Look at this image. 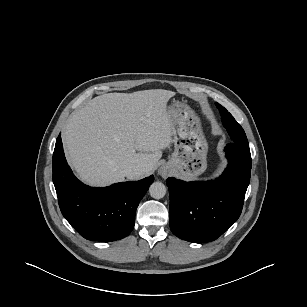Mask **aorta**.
I'll use <instances>...</instances> for the list:
<instances>
[{"mask_svg": "<svg viewBox=\"0 0 307 307\" xmlns=\"http://www.w3.org/2000/svg\"><path fill=\"white\" fill-rule=\"evenodd\" d=\"M149 193L154 199H161L166 194V187L161 182H154L149 187Z\"/></svg>", "mask_w": 307, "mask_h": 307, "instance_id": "obj_1", "label": "aorta"}]
</instances>
